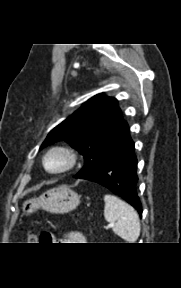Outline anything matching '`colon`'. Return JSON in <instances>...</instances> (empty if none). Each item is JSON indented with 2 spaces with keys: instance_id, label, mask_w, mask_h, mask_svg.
Instances as JSON below:
<instances>
[{
  "instance_id": "obj_1",
  "label": "colon",
  "mask_w": 181,
  "mask_h": 288,
  "mask_svg": "<svg viewBox=\"0 0 181 288\" xmlns=\"http://www.w3.org/2000/svg\"><path fill=\"white\" fill-rule=\"evenodd\" d=\"M48 238H49L48 233H44V234H41L39 236L36 234H30L28 237V242L29 243L49 242Z\"/></svg>"
}]
</instances>
